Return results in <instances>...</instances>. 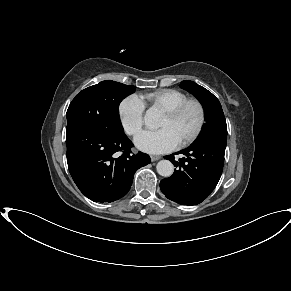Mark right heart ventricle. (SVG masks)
Wrapping results in <instances>:
<instances>
[{"label":"right heart ventricle","instance_id":"1","mask_svg":"<svg viewBox=\"0 0 291 291\" xmlns=\"http://www.w3.org/2000/svg\"><path fill=\"white\" fill-rule=\"evenodd\" d=\"M143 101L148 103L151 108L162 112L176 107L188 99V96L176 89H160L141 95Z\"/></svg>","mask_w":291,"mask_h":291}]
</instances>
